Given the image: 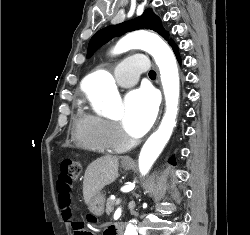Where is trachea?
<instances>
[{"mask_svg": "<svg viewBox=\"0 0 250 235\" xmlns=\"http://www.w3.org/2000/svg\"><path fill=\"white\" fill-rule=\"evenodd\" d=\"M149 76L150 77H156V72L154 70H150Z\"/></svg>", "mask_w": 250, "mask_h": 235, "instance_id": "3493384b", "label": "trachea"}]
</instances>
